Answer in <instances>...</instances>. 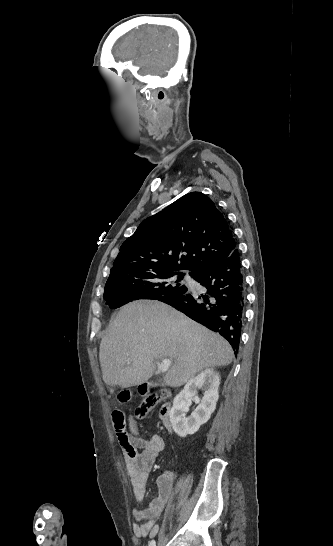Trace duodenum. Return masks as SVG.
Returning <instances> with one entry per match:
<instances>
[{
  "label": "duodenum",
  "mask_w": 333,
  "mask_h": 546,
  "mask_svg": "<svg viewBox=\"0 0 333 546\" xmlns=\"http://www.w3.org/2000/svg\"><path fill=\"white\" fill-rule=\"evenodd\" d=\"M142 390L144 393H148L149 391V387L147 385H143L142 386ZM170 410H171V405L169 402H166L162 405L161 409H160V412H159V417L163 423V425L165 426V428L170 431L171 430V423H170Z\"/></svg>",
  "instance_id": "410a0bca"
}]
</instances>
